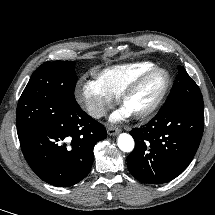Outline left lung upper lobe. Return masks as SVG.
<instances>
[{"label":"left lung upper lobe","mask_w":215,"mask_h":215,"mask_svg":"<svg viewBox=\"0 0 215 215\" xmlns=\"http://www.w3.org/2000/svg\"><path fill=\"white\" fill-rule=\"evenodd\" d=\"M178 75L166 102H190L203 105L201 91L182 66H178Z\"/></svg>","instance_id":"5c2ea615"}]
</instances>
